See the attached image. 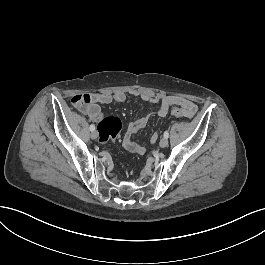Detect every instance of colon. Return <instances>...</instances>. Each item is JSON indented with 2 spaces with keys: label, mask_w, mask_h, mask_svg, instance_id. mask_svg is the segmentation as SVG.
Returning <instances> with one entry per match:
<instances>
[{
  "label": "colon",
  "mask_w": 265,
  "mask_h": 265,
  "mask_svg": "<svg viewBox=\"0 0 265 265\" xmlns=\"http://www.w3.org/2000/svg\"><path fill=\"white\" fill-rule=\"evenodd\" d=\"M90 102V96L85 93L72 95L69 100L70 106L75 109L88 107ZM171 110L173 115L178 118H181L182 114H185L181 112L180 106L177 108L172 107ZM121 129L122 122L118 117L107 116L103 118L97 127L98 141L102 144H105L111 140H114L121 132Z\"/></svg>",
  "instance_id": "5ec220e1"
}]
</instances>
